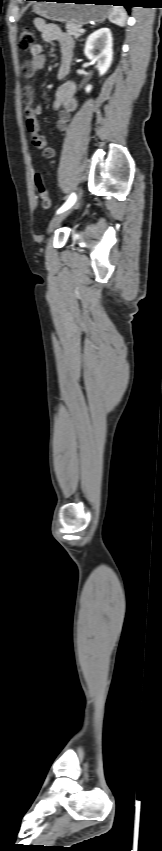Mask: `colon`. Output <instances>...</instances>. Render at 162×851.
<instances>
[{"mask_svg": "<svg viewBox=\"0 0 162 851\" xmlns=\"http://www.w3.org/2000/svg\"><path fill=\"white\" fill-rule=\"evenodd\" d=\"M36 40L37 34L32 28L23 27L20 30L19 46L23 51H30V49L36 44ZM34 180L42 201V205L44 208L47 209L51 206V200L47 190L43 185V178L40 172L35 173Z\"/></svg>", "mask_w": 162, "mask_h": 851, "instance_id": "obj_1", "label": "colon"}]
</instances>
